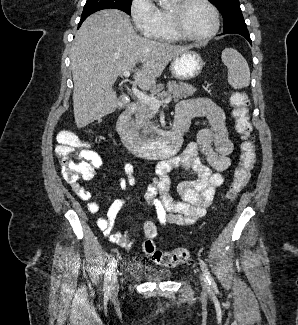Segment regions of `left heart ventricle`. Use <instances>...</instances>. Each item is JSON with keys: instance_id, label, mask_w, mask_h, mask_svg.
<instances>
[{"instance_id": "obj_1", "label": "left heart ventricle", "mask_w": 298, "mask_h": 325, "mask_svg": "<svg viewBox=\"0 0 298 325\" xmlns=\"http://www.w3.org/2000/svg\"><path fill=\"white\" fill-rule=\"evenodd\" d=\"M182 30L189 36L202 37L213 27V20L208 10L201 4L192 2L179 13Z\"/></svg>"}]
</instances>
